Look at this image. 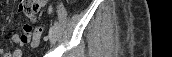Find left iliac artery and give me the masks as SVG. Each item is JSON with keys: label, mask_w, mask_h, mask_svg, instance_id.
<instances>
[{"label": "left iliac artery", "mask_w": 172, "mask_h": 57, "mask_svg": "<svg viewBox=\"0 0 172 57\" xmlns=\"http://www.w3.org/2000/svg\"><path fill=\"white\" fill-rule=\"evenodd\" d=\"M51 10H52V8L50 7V8H49V12H51ZM54 26H56L57 28H59L58 22H55V23H54Z\"/></svg>", "instance_id": "1"}]
</instances>
